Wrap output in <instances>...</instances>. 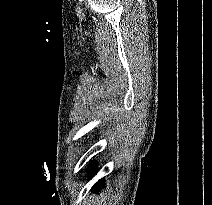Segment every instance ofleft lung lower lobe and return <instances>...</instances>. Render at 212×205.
I'll return each instance as SVG.
<instances>
[{"mask_svg":"<svg viewBox=\"0 0 212 205\" xmlns=\"http://www.w3.org/2000/svg\"><path fill=\"white\" fill-rule=\"evenodd\" d=\"M92 172L95 173L94 170ZM99 182H100V184L96 183L94 185L93 191L94 190H97L98 188L102 189V186L101 185H103V182L101 180H99Z\"/></svg>","mask_w":212,"mask_h":205,"instance_id":"0a47b994","label":"left lung lower lobe"}]
</instances>
